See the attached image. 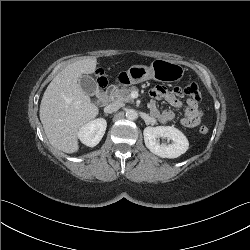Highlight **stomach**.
<instances>
[{
  "instance_id": "obj_1",
  "label": "stomach",
  "mask_w": 250,
  "mask_h": 250,
  "mask_svg": "<svg viewBox=\"0 0 250 250\" xmlns=\"http://www.w3.org/2000/svg\"><path fill=\"white\" fill-rule=\"evenodd\" d=\"M185 73V68L180 64L165 60L155 59L150 67L133 65L127 72L119 75L122 84H138L143 81L154 79L159 82L180 81Z\"/></svg>"
}]
</instances>
